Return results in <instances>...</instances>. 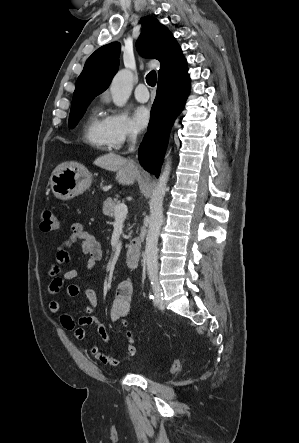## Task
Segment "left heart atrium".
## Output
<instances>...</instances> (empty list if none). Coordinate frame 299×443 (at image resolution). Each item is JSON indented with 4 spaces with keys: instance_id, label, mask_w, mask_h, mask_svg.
I'll list each match as a JSON object with an SVG mask.
<instances>
[{
    "instance_id": "1",
    "label": "left heart atrium",
    "mask_w": 299,
    "mask_h": 443,
    "mask_svg": "<svg viewBox=\"0 0 299 443\" xmlns=\"http://www.w3.org/2000/svg\"><path fill=\"white\" fill-rule=\"evenodd\" d=\"M133 123L138 131L144 130L150 122V111L145 106H138L132 115Z\"/></svg>"
}]
</instances>
